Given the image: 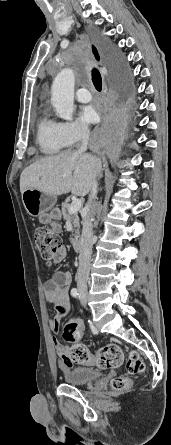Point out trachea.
Wrapping results in <instances>:
<instances>
[{"mask_svg":"<svg viewBox=\"0 0 171 445\" xmlns=\"http://www.w3.org/2000/svg\"><path fill=\"white\" fill-rule=\"evenodd\" d=\"M92 82L96 88V90L101 91L102 90V78L97 69H93L92 71Z\"/></svg>","mask_w":171,"mask_h":445,"instance_id":"trachea-1","label":"trachea"}]
</instances>
